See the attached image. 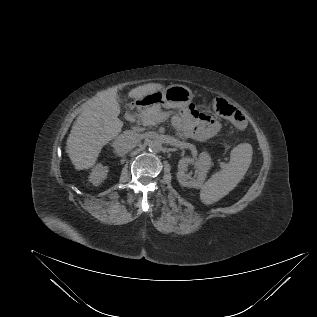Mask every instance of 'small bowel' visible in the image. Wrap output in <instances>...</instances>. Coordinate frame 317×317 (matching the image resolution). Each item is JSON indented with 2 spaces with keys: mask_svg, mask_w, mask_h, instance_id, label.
I'll return each mask as SVG.
<instances>
[{
  "mask_svg": "<svg viewBox=\"0 0 317 317\" xmlns=\"http://www.w3.org/2000/svg\"><path fill=\"white\" fill-rule=\"evenodd\" d=\"M193 116L183 113L173 117V125L181 137L206 140L213 137L219 131V123L210 115L202 113L198 118H194L195 116ZM240 129H244V126Z\"/></svg>",
  "mask_w": 317,
  "mask_h": 317,
  "instance_id": "1",
  "label": "small bowel"
}]
</instances>
